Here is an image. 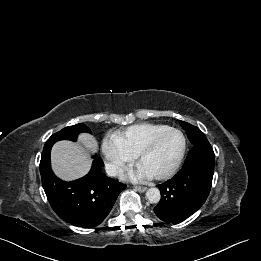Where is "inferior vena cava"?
I'll return each instance as SVG.
<instances>
[{
    "instance_id": "obj_1",
    "label": "inferior vena cava",
    "mask_w": 261,
    "mask_h": 261,
    "mask_svg": "<svg viewBox=\"0 0 261 261\" xmlns=\"http://www.w3.org/2000/svg\"><path fill=\"white\" fill-rule=\"evenodd\" d=\"M105 171L108 176L110 177H116L123 174L124 170L123 167L120 164L111 162L105 164Z\"/></svg>"
}]
</instances>
